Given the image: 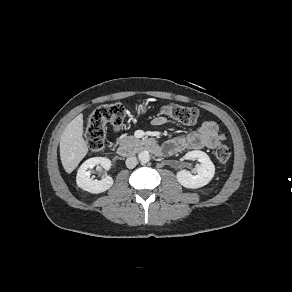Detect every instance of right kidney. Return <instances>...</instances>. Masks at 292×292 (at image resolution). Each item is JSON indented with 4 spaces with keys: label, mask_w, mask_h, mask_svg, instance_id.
I'll list each match as a JSON object with an SVG mask.
<instances>
[{
    "label": "right kidney",
    "mask_w": 292,
    "mask_h": 292,
    "mask_svg": "<svg viewBox=\"0 0 292 292\" xmlns=\"http://www.w3.org/2000/svg\"><path fill=\"white\" fill-rule=\"evenodd\" d=\"M99 164L105 170H109L111 168V161L105 157L90 158L80 166L76 176V182L78 187L90 193L99 194L105 192L112 186L113 179L110 176H106L101 180H93L92 178H90L91 169Z\"/></svg>",
    "instance_id": "obj_1"
}]
</instances>
